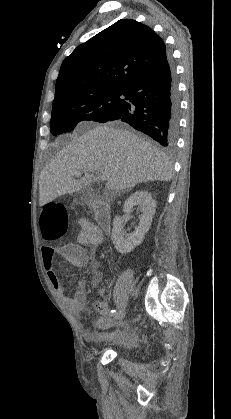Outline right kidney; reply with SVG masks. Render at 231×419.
Segmentation results:
<instances>
[{"mask_svg":"<svg viewBox=\"0 0 231 419\" xmlns=\"http://www.w3.org/2000/svg\"><path fill=\"white\" fill-rule=\"evenodd\" d=\"M134 206H138L142 211L138 227L135 228L134 232L125 235L123 230L124 220L120 216H116L113 221L111 239L115 248L122 254L133 251L142 243L145 234L150 229L156 210L155 200L149 192L143 190L136 191L127 198L123 205V211L131 213Z\"/></svg>","mask_w":231,"mask_h":419,"instance_id":"1","label":"right kidney"}]
</instances>
